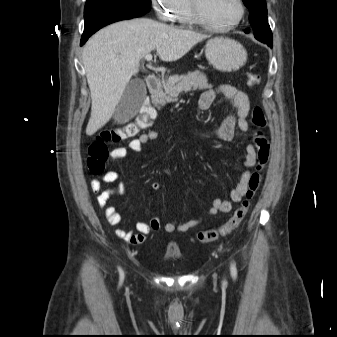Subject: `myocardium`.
<instances>
[{"label": "myocardium", "mask_w": 337, "mask_h": 337, "mask_svg": "<svg viewBox=\"0 0 337 337\" xmlns=\"http://www.w3.org/2000/svg\"><path fill=\"white\" fill-rule=\"evenodd\" d=\"M236 1L239 6V15L233 22L229 24H224V25L215 24V23L210 22L203 15L200 9L199 0H189V4H190V10H191L192 17L197 24L209 30H212V31L223 32V31L232 30L235 27H237L243 21L245 17L246 7H245L244 1L243 0H236Z\"/></svg>", "instance_id": "1"}]
</instances>
